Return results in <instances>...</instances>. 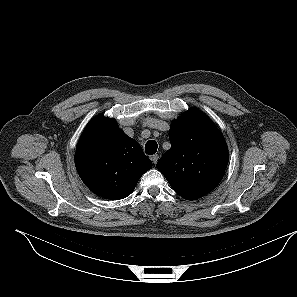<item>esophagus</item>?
Wrapping results in <instances>:
<instances>
[{"mask_svg": "<svg viewBox=\"0 0 297 297\" xmlns=\"http://www.w3.org/2000/svg\"><path fill=\"white\" fill-rule=\"evenodd\" d=\"M158 159H159V155H158V154H154V155L151 156V161H152L154 164L157 163Z\"/></svg>", "mask_w": 297, "mask_h": 297, "instance_id": "34e87169", "label": "esophagus"}]
</instances>
